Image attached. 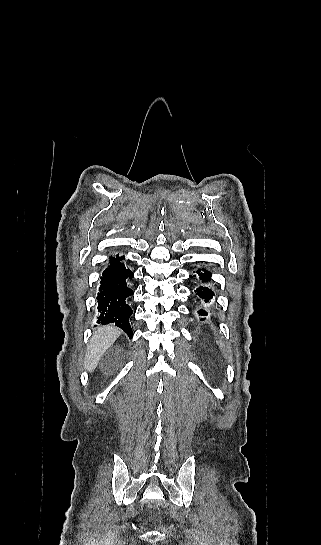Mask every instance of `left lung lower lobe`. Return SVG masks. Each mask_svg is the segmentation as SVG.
I'll return each instance as SVG.
<instances>
[{
    "label": "left lung lower lobe",
    "instance_id": "0a47b994",
    "mask_svg": "<svg viewBox=\"0 0 321 545\" xmlns=\"http://www.w3.org/2000/svg\"><path fill=\"white\" fill-rule=\"evenodd\" d=\"M202 271L204 272H201L200 269H198L196 271V273L199 275V278L200 280H202V282H208L210 281V276H211V273L205 269H202ZM196 275L194 276H190L191 278L195 277ZM199 297H201L202 299H204L205 303H208L210 301V299H212L213 297V292L208 288V287H199L197 288L195 291H194ZM198 314L199 315H202V316H207V311L202 309L200 311H198Z\"/></svg>",
    "mask_w": 321,
    "mask_h": 545
}]
</instances>
